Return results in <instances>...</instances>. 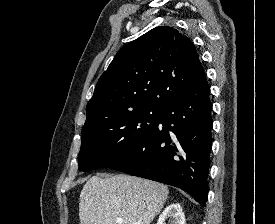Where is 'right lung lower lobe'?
Wrapping results in <instances>:
<instances>
[{
	"instance_id": "1",
	"label": "right lung lower lobe",
	"mask_w": 275,
	"mask_h": 224,
	"mask_svg": "<svg viewBox=\"0 0 275 224\" xmlns=\"http://www.w3.org/2000/svg\"><path fill=\"white\" fill-rule=\"evenodd\" d=\"M211 110L203 73L163 109L152 133L109 168L181 188L204 207L212 147Z\"/></svg>"
}]
</instances>
